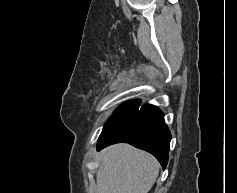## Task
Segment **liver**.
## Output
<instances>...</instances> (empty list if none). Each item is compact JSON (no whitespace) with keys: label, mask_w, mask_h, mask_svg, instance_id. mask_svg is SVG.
<instances>
[{"label":"liver","mask_w":237,"mask_h":193,"mask_svg":"<svg viewBox=\"0 0 237 193\" xmlns=\"http://www.w3.org/2000/svg\"><path fill=\"white\" fill-rule=\"evenodd\" d=\"M99 158L97 193H148L159 174L156 158L129 144L110 146Z\"/></svg>","instance_id":"1"}]
</instances>
